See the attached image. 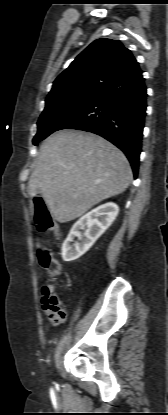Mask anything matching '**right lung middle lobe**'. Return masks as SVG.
Segmentation results:
<instances>
[{
	"label": "right lung middle lobe",
	"instance_id": "1",
	"mask_svg": "<svg viewBox=\"0 0 168 415\" xmlns=\"http://www.w3.org/2000/svg\"><path fill=\"white\" fill-rule=\"evenodd\" d=\"M102 90H79L63 94L46 101V106L38 120V132L33 144L57 131L66 121L102 94Z\"/></svg>",
	"mask_w": 168,
	"mask_h": 415
}]
</instances>
